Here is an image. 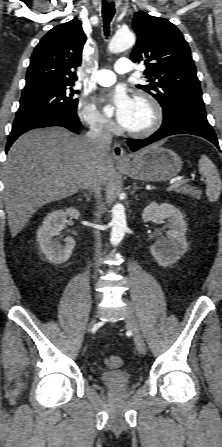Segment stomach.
I'll use <instances>...</instances> for the list:
<instances>
[{"instance_id": "obj_1", "label": "stomach", "mask_w": 222, "mask_h": 447, "mask_svg": "<svg viewBox=\"0 0 222 447\" xmlns=\"http://www.w3.org/2000/svg\"><path fill=\"white\" fill-rule=\"evenodd\" d=\"M182 163L174 151L154 144L129 154L124 162L116 164L122 173L133 179L166 181L180 172Z\"/></svg>"}]
</instances>
